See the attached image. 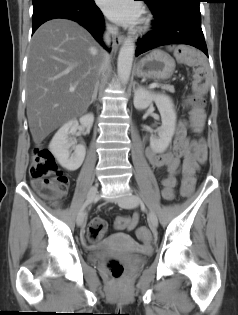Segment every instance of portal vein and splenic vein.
<instances>
[{
	"mask_svg": "<svg viewBox=\"0 0 238 315\" xmlns=\"http://www.w3.org/2000/svg\"><path fill=\"white\" fill-rule=\"evenodd\" d=\"M157 86H158L157 83H153V84L150 85V88H155V87H157ZM69 91H70V92H74V91H75V88H74V87H71V88L69 89Z\"/></svg>",
	"mask_w": 238,
	"mask_h": 315,
	"instance_id": "18ae733b",
	"label": "portal vein and splenic vein"
}]
</instances>
